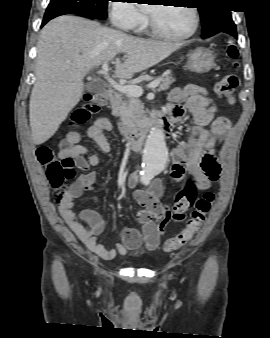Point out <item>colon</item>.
<instances>
[{"mask_svg": "<svg viewBox=\"0 0 270 338\" xmlns=\"http://www.w3.org/2000/svg\"><path fill=\"white\" fill-rule=\"evenodd\" d=\"M226 56L234 66L237 65L238 49L233 42H228L224 46ZM238 85V79L235 75L225 76L215 87L217 95L224 97L229 103L234 102V92ZM108 104L107 97L102 93L89 94L85 99V103L78 107L72 115V120L77 124L85 123L89 117L96 113L101 107ZM214 128L224 131L229 128L227 118H218L214 123ZM70 145L68 144L67 147ZM37 161L46 168V177L51 189L54 192L60 191L66 186V183L74 178V161L70 157L61 160L54 158L53 152L48 147H40L36 151ZM201 168L213 180L219 175V168L216 160L212 158L211 153L207 150L201 162ZM213 193L206 192L201 196L193 189L179 192L175 196V202L172 208H167L168 217L174 221H181L185 212L194 204L195 208L187 221L186 226L175 237L167 239L163 243L164 252H172L180 246L189 242L203 225L213 201ZM142 222L149 221L152 216L142 211L139 214Z\"/></svg>", "mask_w": 270, "mask_h": 338, "instance_id": "1", "label": "colon"}]
</instances>
